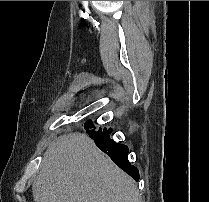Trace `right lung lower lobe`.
<instances>
[{
	"instance_id": "1",
	"label": "right lung lower lobe",
	"mask_w": 209,
	"mask_h": 202,
	"mask_svg": "<svg viewBox=\"0 0 209 202\" xmlns=\"http://www.w3.org/2000/svg\"><path fill=\"white\" fill-rule=\"evenodd\" d=\"M84 128L88 135L95 141V144L103 152L107 153L116 165L133 177L134 180L139 181L137 168L131 165L128 161V147L123 144H118L110 139V134L112 132L111 129H100L99 131H96V127L91 120H88L84 124Z\"/></svg>"
}]
</instances>
